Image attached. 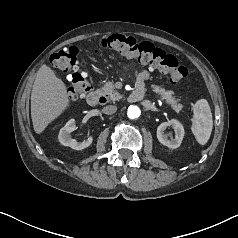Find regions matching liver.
<instances>
[{"instance_id": "liver-1", "label": "liver", "mask_w": 238, "mask_h": 238, "mask_svg": "<svg viewBox=\"0 0 238 238\" xmlns=\"http://www.w3.org/2000/svg\"><path fill=\"white\" fill-rule=\"evenodd\" d=\"M67 87L46 64L37 72L31 93L34 131L41 134L69 106Z\"/></svg>"}]
</instances>
